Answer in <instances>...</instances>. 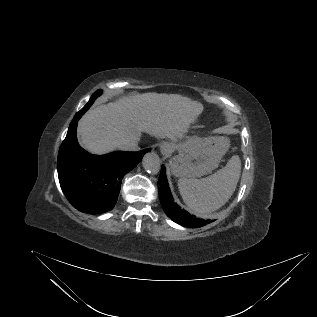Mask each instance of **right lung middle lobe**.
Returning a JSON list of instances; mask_svg holds the SVG:
<instances>
[{"label":"right lung middle lobe","mask_w":317,"mask_h":317,"mask_svg":"<svg viewBox=\"0 0 317 317\" xmlns=\"http://www.w3.org/2000/svg\"><path fill=\"white\" fill-rule=\"evenodd\" d=\"M102 93L101 90L96 91L90 98V100L88 101V103L76 114H84L89 108L90 106L93 104L94 100L97 98V96H99Z\"/></svg>","instance_id":"1"}]
</instances>
